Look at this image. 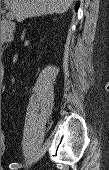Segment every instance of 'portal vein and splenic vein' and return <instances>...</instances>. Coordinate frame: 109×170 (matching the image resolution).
<instances>
[{
  "label": "portal vein and splenic vein",
  "mask_w": 109,
  "mask_h": 170,
  "mask_svg": "<svg viewBox=\"0 0 109 170\" xmlns=\"http://www.w3.org/2000/svg\"><path fill=\"white\" fill-rule=\"evenodd\" d=\"M7 18H8V19H14V13H13L12 11H9V12L7 13Z\"/></svg>",
  "instance_id": "portal-vein-and-splenic-vein-1"
}]
</instances>
